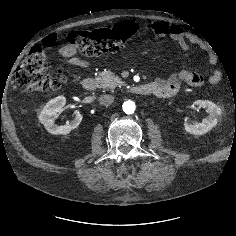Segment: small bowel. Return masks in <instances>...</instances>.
<instances>
[{"label":"small bowel","instance_id":"obj_1","mask_svg":"<svg viewBox=\"0 0 236 236\" xmlns=\"http://www.w3.org/2000/svg\"><path fill=\"white\" fill-rule=\"evenodd\" d=\"M144 28L158 37L169 36L176 41L182 50L188 51L191 49L192 43L198 42L196 34L185 31L181 26L170 24L162 21H148L144 24ZM60 56L70 65L80 69H89L92 62L87 59L77 57V49L68 44L59 49ZM214 60V57H211ZM222 74L220 71H215L209 77V81L213 84L220 82ZM203 77L191 70H182L178 73L171 74L167 78L158 77L151 83L153 93L160 98H167L175 95L181 88L182 84L193 87L201 86Z\"/></svg>","mask_w":236,"mask_h":236}]
</instances>
